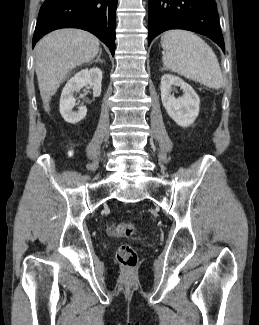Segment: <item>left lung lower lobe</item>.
<instances>
[{"label":"left lung lower lobe","instance_id":"1","mask_svg":"<svg viewBox=\"0 0 259 325\" xmlns=\"http://www.w3.org/2000/svg\"><path fill=\"white\" fill-rule=\"evenodd\" d=\"M170 29L200 33L225 51L215 0H149L148 43Z\"/></svg>","mask_w":259,"mask_h":325}]
</instances>
